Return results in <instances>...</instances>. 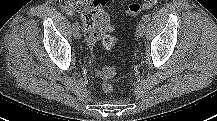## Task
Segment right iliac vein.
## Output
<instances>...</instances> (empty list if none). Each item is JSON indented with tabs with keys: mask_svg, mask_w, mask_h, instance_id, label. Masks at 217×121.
Returning <instances> with one entry per match:
<instances>
[{
	"mask_svg": "<svg viewBox=\"0 0 217 121\" xmlns=\"http://www.w3.org/2000/svg\"><path fill=\"white\" fill-rule=\"evenodd\" d=\"M74 38L76 39H80L81 38V34L79 32L78 29H74V33H73Z\"/></svg>",
	"mask_w": 217,
	"mask_h": 121,
	"instance_id": "obj_1",
	"label": "right iliac vein"
}]
</instances>
